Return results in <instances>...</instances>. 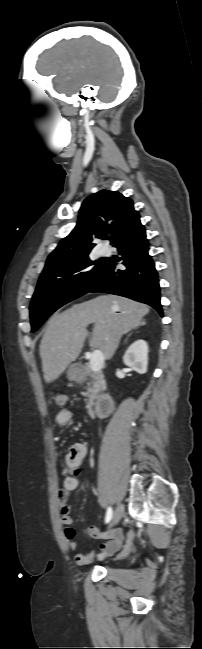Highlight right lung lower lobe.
I'll use <instances>...</instances> for the list:
<instances>
[{"label":"right lung lower lobe","mask_w":202,"mask_h":649,"mask_svg":"<svg viewBox=\"0 0 202 649\" xmlns=\"http://www.w3.org/2000/svg\"><path fill=\"white\" fill-rule=\"evenodd\" d=\"M125 270L116 268V261L106 260L88 292H102L124 296L152 306L163 314L160 303L158 272L149 255V241L145 229L117 242Z\"/></svg>","instance_id":"98d812e1"}]
</instances>
